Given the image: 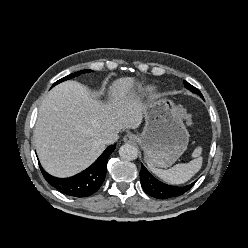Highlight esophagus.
<instances>
[{"label": "esophagus", "instance_id": "1", "mask_svg": "<svg viewBox=\"0 0 248 248\" xmlns=\"http://www.w3.org/2000/svg\"><path fill=\"white\" fill-rule=\"evenodd\" d=\"M136 140H137V137L132 133H128L123 137V141L126 143H134L136 142Z\"/></svg>", "mask_w": 248, "mask_h": 248}]
</instances>
